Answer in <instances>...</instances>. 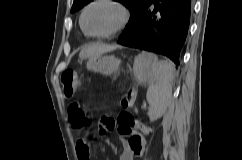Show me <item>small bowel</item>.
<instances>
[{
	"label": "small bowel",
	"instance_id": "obj_1",
	"mask_svg": "<svg viewBox=\"0 0 242 160\" xmlns=\"http://www.w3.org/2000/svg\"><path fill=\"white\" fill-rule=\"evenodd\" d=\"M70 121L75 126L78 127L69 111ZM136 128L138 131H125L123 127L117 124L116 121L111 117H105L102 119V127L105 131H112L116 129L120 134H129L127 138H122L123 151L120 155L119 160H134L135 157L142 156L146 146L145 132L147 127L142 123H136ZM80 128V127H78ZM91 142L87 139H80L76 145V151L79 160H90L91 159Z\"/></svg>",
	"mask_w": 242,
	"mask_h": 160
}]
</instances>
